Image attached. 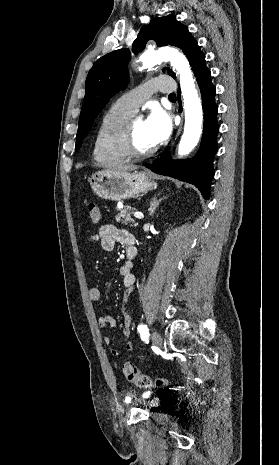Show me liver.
I'll return each instance as SVG.
<instances>
[{"mask_svg":"<svg viewBox=\"0 0 279 465\" xmlns=\"http://www.w3.org/2000/svg\"><path fill=\"white\" fill-rule=\"evenodd\" d=\"M137 169L136 165H131V164H118L112 167L111 169L107 171H112V172H119V171H132Z\"/></svg>","mask_w":279,"mask_h":465,"instance_id":"6515ba94","label":"liver"}]
</instances>
